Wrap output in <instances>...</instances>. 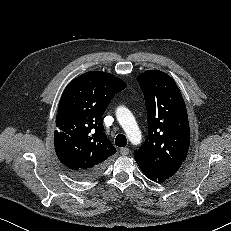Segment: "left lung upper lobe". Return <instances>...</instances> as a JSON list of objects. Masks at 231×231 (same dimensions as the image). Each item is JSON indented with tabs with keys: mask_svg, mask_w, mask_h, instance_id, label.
Masks as SVG:
<instances>
[{
	"mask_svg": "<svg viewBox=\"0 0 231 231\" xmlns=\"http://www.w3.org/2000/svg\"><path fill=\"white\" fill-rule=\"evenodd\" d=\"M147 109L148 137L134 152L137 161L173 176L185 160L190 130L185 102L175 81L159 70L137 77Z\"/></svg>",
	"mask_w": 231,
	"mask_h": 231,
	"instance_id": "1",
	"label": "left lung upper lobe"
}]
</instances>
